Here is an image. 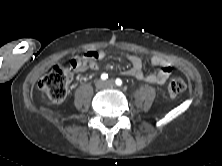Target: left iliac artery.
I'll use <instances>...</instances> for the list:
<instances>
[{
	"label": "left iliac artery",
	"mask_w": 222,
	"mask_h": 166,
	"mask_svg": "<svg viewBox=\"0 0 222 166\" xmlns=\"http://www.w3.org/2000/svg\"><path fill=\"white\" fill-rule=\"evenodd\" d=\"M115 83H116L117 86H121V85H122V80L119 79V78H117V79L115 80Z\"/></svg>",
	"instance_id": "obj_1"
}]
</instances>
